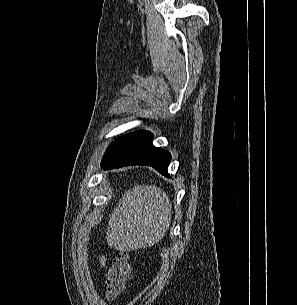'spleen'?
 Instances as JSON below:
<instances>
[{
	"mask_svg": "<svg viewBox=\"0 0 297 305\" xmlns=\"http://www.w3.org/2000/svg\"><path fill=\"white\" fill-rule=\"evenodd\" d=\"M171 204L155 185H135L125 192L108 222V239L123 250L158 243L171 223Z\"/></svg>",
	"mask_w": 297,
	"mask_h": 305,
	"instance_id": "obj_1",
	"label": "spleen"
}]
</instances>
